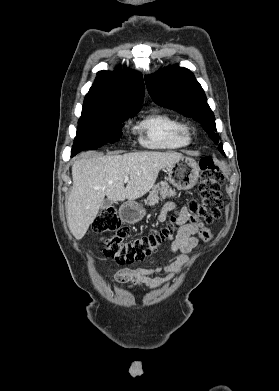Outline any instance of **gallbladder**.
<instances>
[{
  "instance_id": "bac80fb5",
  "label": "gallbladder",
  "mask_w": 279,
  "mask_h": 391,
  "mask_svg": "<svg viewBox=\"0 0 279 391\" xmlns=\"http://www.w3.org/2000/svg\"><path fill=\"white\" fill-rule=\"evenodd\" d=\"M112 203L113 202L111 200H108V199L104 200L102 205H101V210H104V209L108 208L109 206L112 205Z\"/></svg>"
}]
</instances>
